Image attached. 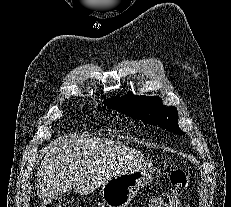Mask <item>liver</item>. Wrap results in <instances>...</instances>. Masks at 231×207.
<instances>
[{
	"label": "liver",
	"mask_w": 231,
	"mask_h": 207,
	"mask_svg": "<svg viewBox=\"0 0 231 207\" xmlns=\"http://www.w3.org/2000/svg\"><path fill=\"white\" fill-rule=\"evenodd\" d=\"M37 172V195L40 199L62 193L85 195L93 192L118 170L134 167L143 156L119 143L99 138L64 136L45 150Z\"/></svg>",
	"instance_id": "liver-1"
}]
</instances>
